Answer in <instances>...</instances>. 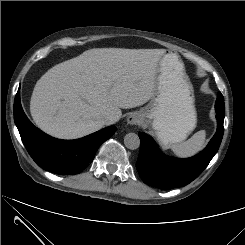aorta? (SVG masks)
Returning a JSON list of instances; mask_svg holds the SVG:
<instances>
[{
  "label": "aorta",
  "mask_w": 245,
  "mask_h": 245,
  "mask_svg": "<svg viewBox=\"0 0 245 245\" xmlns=\"http://www.w3.org/2000/svg\"><path fill=\"white\" fill-rule=\"evenodd\" d=\"M124 144L130 150H136L140 146L139 136L135 133H128L124 137Z\"/></svg>",
  "instance_id": "1"
}]
</instances>
